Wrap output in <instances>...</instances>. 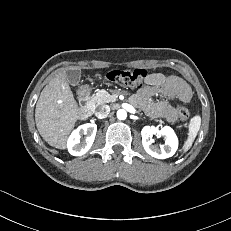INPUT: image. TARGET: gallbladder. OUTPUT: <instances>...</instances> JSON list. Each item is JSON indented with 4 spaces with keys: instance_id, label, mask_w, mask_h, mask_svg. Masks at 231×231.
<instances>
[{
    "instance_id": "1",
    "label": "gallbladder",
    "mask_w": 231,
    "mask_h": 231,
    "mask_svg": "<svg viewBox=\"0 0 231 231\" xmlns=\"http://www.w3.org/2000/svg\"><path fill=\"white\" fill-rule=\"evenodd\" d=\"M66 76L71 85H77L81 78V70L69 69L66 71Z\"/></svg>"
}]
</instances>
